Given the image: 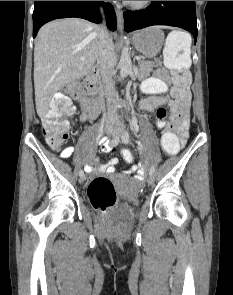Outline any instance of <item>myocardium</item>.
Returning a JSON list of instances; mask_svg holds the SVG:
<instances>
[{"mask_svg": "<svg viewBox=\"0 0 233 295\" xmlns=\"http://www.w3.org/2000/svg\"><path fill=\"white\" fill-rule=\"evenodd\" d=\"M128 6L134 10H142L147 8L152 1H129Z\"/></svg>", "mask_w": 233, "mask_h": 295, "instance_id": "myocardium-1", "label": "myocardium"}]
</instances>
